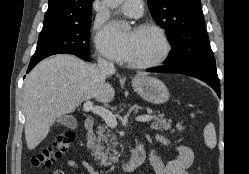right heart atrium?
<instances>
[{
  "instance_id": "1",
  "label": "right heart atrium",
  "mask_w": 249,
  "mask_h": 174,
  "mask_svg": "<svg viewBox=\"0 0 249 174\" xmlns=\"http://www.w3.org/2000/svg\"><path fill=\"white\" fill-rule=\"evenodd\" d=\"M101 27V23H96V28L99 29ZM99 58L101 61H109V57L103 53L102 51H99Z\"/></svg>"
}]
</instances>
